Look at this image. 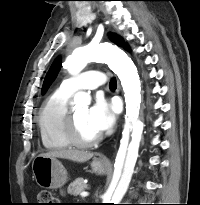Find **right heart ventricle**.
I'll return each mask as SVG.
<instances>
[{"instance_id":"right-heart-ventricle-1","label":"right heart ventricle","mask_w":200,"mask_h":205,"mask_svg":"<svg viewBox=\"0 0 200 205\" xmlns=\"http://www.w3.org/2000/svg\"><path fill=\"white\" fill-rule=\"evenodd\" d=\"M70 96L59 88L40 108L38 115L40 138L48 150H62L71 146L65 135L67 102Z\"/></svg>"}]
</instances>
